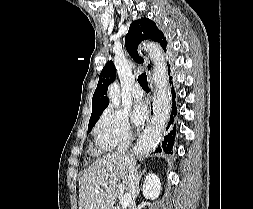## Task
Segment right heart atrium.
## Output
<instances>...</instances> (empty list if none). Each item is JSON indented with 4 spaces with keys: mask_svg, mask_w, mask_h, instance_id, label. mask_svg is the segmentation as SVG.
Returning a JSON list of instances; mask_svg holds the SVG:
<instances>
[{
    "mask_svg": "<svg viewBox=\"0 0 253 209\" xmlns=\"http://www.w3.org/2000/svg\"><path fill=\"white\" fill-rule=\"evenodd\" d=\"M94 134L97 146L102 150L111 151L119 145L129 143L133 137V130L125 112L110 108L98 119Z\"/></svg>",
    "mask_w": 253,
    "mask_h": 209,
    "instance_id": "right-heart-atrium-1",
    "label": "right heart atrium"
}]
</instances>
